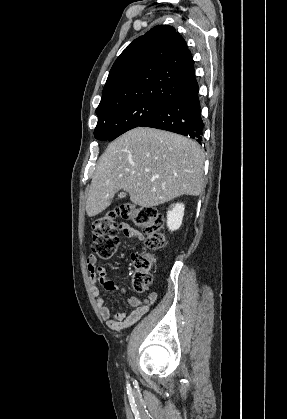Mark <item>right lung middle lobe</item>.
Returning <instances> with one entry per match:
<instances>
[{
	"mask_svg": "<svg viewBox=\"0 0 287 419\" xmlns=\"http://www.w3.org/2000/svg\"><path fill=\"white\" fill-rule=\"evenodd\" d=\"M164 104L162 101H137L98 114L94 136L98 140L112 141L126 131L140 126Z\"/></svg>",
	"mask_w": 287,
	"mask_h": 419,
	"instance_id": "right-lung-middle-lobe-1",
	"label": "right lung middle lobe"
}]
</instances>
